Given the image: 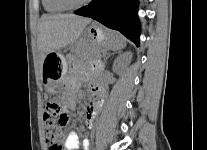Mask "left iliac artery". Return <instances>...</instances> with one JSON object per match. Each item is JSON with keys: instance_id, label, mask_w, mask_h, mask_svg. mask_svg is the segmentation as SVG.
Returning a JSON list of instances; mask_svg holds the SVG:
<instances>
[{"instance_id": "1", "label": "left iliac artery", "mask_w": 207, "mask_h": 150, "mask_svg": "<svg viewBox=\"0 0 207 150\" xmlns=\"http://www.w3.org/2000/svg\"><path fill=\"white\" fill-rule=\"evenodd\" d=\"M83 145H84V147H85V150H88V147H89V141H88L87 139H85V140L83 141Z\"/></svg>"}]
</instances>
